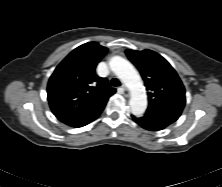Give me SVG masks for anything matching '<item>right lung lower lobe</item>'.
I'll use <instances>...</instances> for the list:
<instances>
[{
	"instance_id": "obj_1",
	"label": "right lung lower lobe",
	"mask_w": 222,
	"mask_h": 187,
	"mask_svg": "<svg viewBox=\"0 0 222 187\" xmlns=\"http://www.w3.org/2000/svg\"><path fill=\"white\" fill-rule=\"evenodd\" d=\"M102 110L85 115H57L56 117L61 122L71 127H82L95 120L100 115Z\"/></svg>"
}]
</instances>
